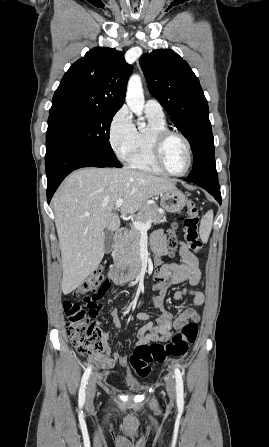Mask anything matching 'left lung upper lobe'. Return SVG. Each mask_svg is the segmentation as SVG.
<instances>
[{
	"label": "left lung upper lobe",
	"mask_w": 269,
	"mask_h": 447,
	"mask_svg": "<svg viewBox=\"0 0 269 447\" xmlns=\"http://www.w3.org/2000/svg\"><path fill=\"white\" fill-rule=\"evenodd\" d=\"M150 93L171 116L193 151L191 182L218 181L207 100L190 66L172 50L159 49L140 58Z\"/></svg>",
	"instance_id": "left-lung-upper-lobe-1"
}]
</instances>
